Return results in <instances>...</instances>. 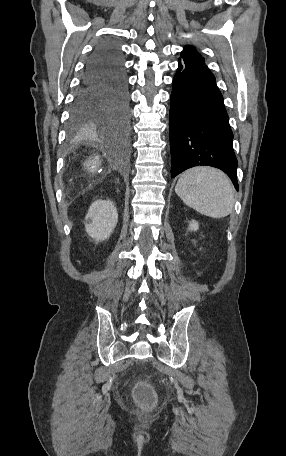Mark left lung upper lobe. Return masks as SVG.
Masks as SVG:
<instances>
[{
  "label": "left lung upper lobe",
  "mask_w": 286,
  "mask_h": 456,
  "mask_svg": "<svg viewBox=\"0 0 286 456\" xmlns=\"http://www.w3.org/2000/svg\"><path fill=\"white\" fill-rule=\"evenodd\" d=\"M183 60H194L204 63V59L196 52L192 46H185L181 53Z\"/></svg>",
  "instance_id": "5c2ea615"
}]
</instances>
